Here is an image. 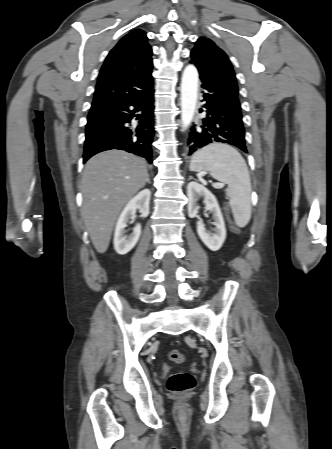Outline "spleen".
<instances>
[{
  "mask_svg": "<svg viewBox=\"0 0 332 449\" xmlns=\"http://www.w3.org/2000/svg\"><path fill=\"white\" fill-rule=\"evenodd\" d=\"M194 172L208 171L210 175L228 185L229 197L235 223L245 227L251 219V181L245 160L233 147L213 143L198 150L190 162Z\"/></svg>",
  "mask_w": 332,
  "mask_h": 449,
  "instance_id": "3e777b00",
  "label": "spleen"
}]
</instances>
